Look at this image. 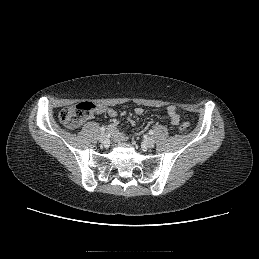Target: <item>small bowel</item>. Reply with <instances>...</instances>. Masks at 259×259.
Instances as JSON below:
<instances>
[{
  "label": "small bowel",
  "mask_w": 259,
  "mask_h": 259,
  "mask_svg": "<svg viewBox=\"0 0 259 259\" xmlns=\"http://www.w3.org/2000/svg\"><path fill=\"white\" fill-rule=\"evenodd\" d=\"M134 112L136 115H141L143 113V109L141 107H136L134 109ZM166 112L168 114V116L170 117L171 123L173 125H177L180 121V117L176 111L175 106L173 105H168L166 107ZM98 113L100 114H107L109 117L111 118H115L117 116V111L113 108H106V107H100L98 109ZM109 130L114 134V136L119 139V140H123L125 138V134L121 131H119L118 127H117V123L113 122L110 126H109Z\"/></svg>",
  "instance_id": "small-bowel-1"
}]
</instances>
